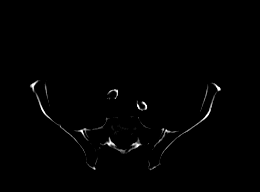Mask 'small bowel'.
Returning <instances> with one entry per match:
<instances>
[{
    "label": "small bowel",
    "instance_id": "obj_1",
    "mask_svg": "<svg viewBox=\"0 0 260 192\" xmlns=\"http://www.w3.org/2000/svg\"><path fill=\"white\" fill-rule=\"evenodd\" d=\"M135 49L140 53L142 59L149 65H154L158 62V59L152 58L143 47L137 45ZM105 54H106L105 50H99L95 52L89 59L90 65L97 72L102 71L100 61L105 56ZM196 74H197V64H195L194 68L189 72L188 76L189 78H193L196 76ZM161 78L167 84V86L174 92L184 93L190 88L189 83L180 84L171 75L163 74ZM143 87H146V84H144Z\"/></svg>",
    "mask_w": 260,
    "mask_h": 192
}]
</instances>
